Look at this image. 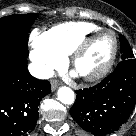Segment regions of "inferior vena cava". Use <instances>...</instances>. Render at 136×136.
Instances as JSON below:
<instances>
[{
  "label": "inferior vena cava",
  "instance_id": "602c4592",
  "mask_svg": "<svg viewBox=\"0 0 136 136\" xmlns=\"http://www.w3.org/2000/svg\"><path fill=\"white\" fill-rule=\"evenodd\" d=\"M28 69L30 74L38 79H48L54 74L51 68L36 63L29 64Z\"/></svg>",
  "mask_w": 136,
  "mask_h": 136
}]
</instances>
